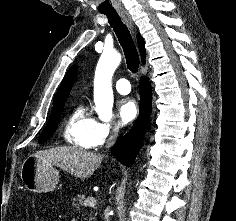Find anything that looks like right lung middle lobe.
I'll return each mask as SVG.
<instances>
[{
  "instance_id": "obj_1",
  "label": "right lung middle lobe",
  "mask_w": 236,
  "mask_h": 221,
  "mask_svg": "<svg viewBox=\"0 0 236 221\" xmlns=\"http://www.w3.org/2000/svg\"><path fill=\"white\" fill-rule=\"evenodd\" d=\"M64 103L53 106L50 120L48 121L46 127L44 128L42 134L39 137V143H43L46 141V139H49L53 133L56 131L59 118L61 116V113L63 111Z\"/></svg>"
}]
</instances>
